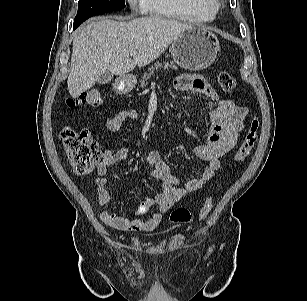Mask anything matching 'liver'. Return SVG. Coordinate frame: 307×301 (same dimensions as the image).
I'll return each instance as SVG.
<instances>
[{
    "instance_id": "1",
    "label": "liver",
    "mask_w": 307,
    "mask_h": 301,
    "mask_svg": "<svg viewBox=\"0 0 307 301\" xmlns=\"http://www.w3.org/2000/svg\"><path fill=\"white\" fill-rule=\"evenodd\" d=\"M191 24L160 16L130 21H91L73 39L68 91L73 98L94 86L105 72L125 76L158 58ZM137 54L131 58L130 53Z\"/></svg>"
}]
</instances>
